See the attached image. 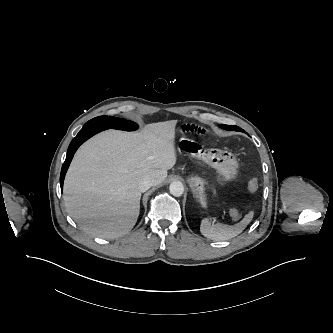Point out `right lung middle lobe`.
I'll use <instances>...</instances> for the list:
<instances>
[{
	"instance_id": "right-lung-middle-lobe-1",
	"label": "right lung middle lobe",
	"mask_w": 333,
	"mask_h": 333,
	"mask_svg": "<svg viewBox=\"0 0 333 333\" xmlns=\"http://www.w3.org/2000/svg\"><path fill=\"white\" fill-rule=\"evenodd\" d=\"M85 127H107L120 130L133 131L138 128V125L132 121H128L121 118H116L112 116H100L88 121L83 126V128Z\"/></svg>"
}]
</instances>
